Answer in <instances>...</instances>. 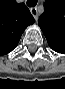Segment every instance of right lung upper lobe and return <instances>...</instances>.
I'll return each instance as SVG.
<instances>
[{"label": "right lung upper lobe", "instance_id": "cb5924a9", "mask_svg": "<svg viewBox=\"0 0 65 89\" xmlns=\"http://www.w3.org/2000/svg\"><path fill=\"white\" fill-rule=\"evenodd\" d=\"M34 18L24 3L15 0L0 1V55L11 52L19 43L22 33Z\"/></svg>", "mask_w": 65, "mask_h": 89}]
</instances>
